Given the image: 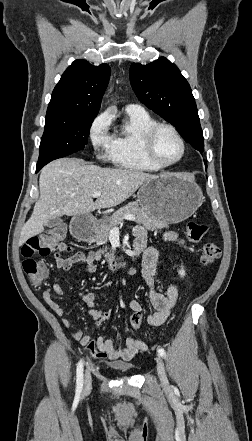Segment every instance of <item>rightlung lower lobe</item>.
Segmentation results:
<instances>
[{
  "label": "right lung lower lobe",
  "mask_w": 252,
  "mask_h": 441,
  "mask_svg": "<svg viewBox=\"0 0 252 441\" xmlns=\"http://www.w3.org/2000/svg\"><path fill=\"white\" fill-rule=\"evenodd\" d=\"M44 165H37L36 172H38Z\"/></svg>",
  "instance_id": "1"
}]
</instances>
